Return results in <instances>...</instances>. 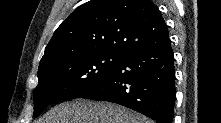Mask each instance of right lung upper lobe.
<instances>
[{
    "mask_svg": "<svg viewBox=\"0 0 221 123\" xmlns=\"http://www.w3.org/2000/svg\"><path fill=\"white\" fill-rule=\"evenodd\" d=\"M169 39L166 23L151 0H91L56 29L40 65L91 50L130 53Z\"/></svg>",
    "mask_w": 221,
    "mask_h": 123,
    "instance_id": "obj_1",
    "label": "right lung upper lobe"
}]
</instances>
